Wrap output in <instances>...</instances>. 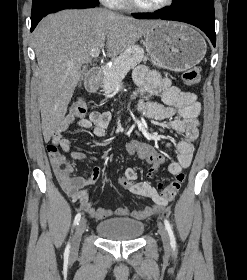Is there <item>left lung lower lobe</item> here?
I'll return each mask as SVG.
<instances>
[{
	"mask_svg": "<svg viewBox=\"0 0 247 280\" xmlns=\"http://www.w3.org/2000/svg\"><path fill=\"white\" fill-rule=\"evenodd\" d=\"M139 19L174 20L192 24L201 29L211 40L216 42L214 6H196L184 9L168 8L157 15H133Z\"/></svg>",
	"mask_w": 247,
	"mask_h": 280,
	"instance_id": "left-lung-lower-lobe-1",
	"label": "left lung lower lobe"
}]
</instances>
